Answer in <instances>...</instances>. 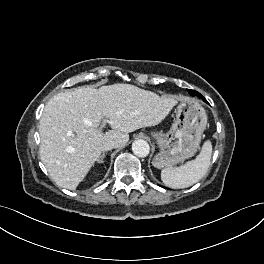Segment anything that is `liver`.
<instances>
[{
  "label": "liver",
  "instance_id": "1",
  "mask_svg": "<svg viewBox=\"0 0 264 264\" xmlns=\"http://www.w3.org/2000/svg\"><path fill=\"white\" fill-rule=\"evenodd\" d=\"M176 103L175 96L122 83L61 92L48 101L40 119L41 161L58 186L75 190L105 141L125 146L130 132L158 125ZM104 119L112 128L105 133L98 128Z\"/></svg>",
  "mask_w": 264,
  "mask_h": 264
}]
</instances>
